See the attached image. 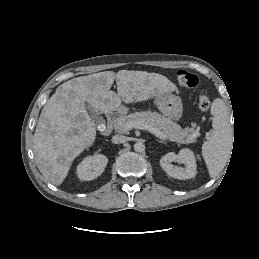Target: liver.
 I'll return each instance as SVG.
<instances>
[{"label": "liver", "mask_w": 259, "mask_h": 259, "mask_svg": "<svg viewBox=\"0 0 259 259\" xmlns=\"http://www.w3.org/2000/svg\"><path fill=\"white\" fill-rule=\"evenodd\" d=\"M116 79L117 93L110 91ZM176 90L167 77L146 71L99 72L73 78L57 87L42 108L33 138L39 171L59 186L73 160L96 139V123L86 110L97 114L118 110L121 102L135 103Z\"/></svg>", "instance_id": "1"}]
</instances>
